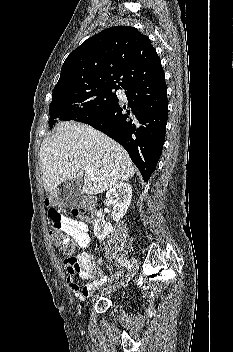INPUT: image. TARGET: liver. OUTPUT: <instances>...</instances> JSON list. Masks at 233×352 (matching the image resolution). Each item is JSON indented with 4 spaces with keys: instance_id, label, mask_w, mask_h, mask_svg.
I'll use <instances>...</instances> for the list:
<instances>
[{
    "instance_id": "obj_1",
    "label": "liver",
    "mask_w": 233,
    "mask_h": 352,
    "mask_svg": "<svg viewBox=\"0 0 233 352\" xmlns=\"http://www.w3.org/2000/svg\"><path fill=\"white\" fill-rule=\"evenodd\" d=\"M44 188L52 194L62 182L81 179L86 166L92 175L82 180L88 195L103 193L133 177L135 167L127 151L104 133L74 121L61 122L40 147Z\"/></svg>"
}]
</instances>
